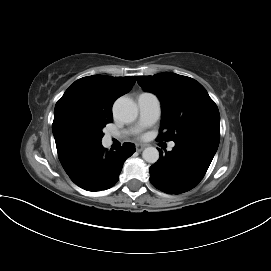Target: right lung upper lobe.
<instances>
[{
	"instance_id": "cb5924a9",
	"label": "right lung upper lobe",
	"mask_w": 271,
	"mask_h": 271,
	"mask_svg": "<svg viewBox=\"0 0 271 271\" xmlns=\"http://www.w3.org/2000/svg\"><path fill=\"white\" fill-rule=\"evenodd\" d=\"M135 81V76L93 75L78 79L66 90L56 103L52 125L58 157L63 168L100 146L70 135L67 130L68 121L79 114L112 117L113 102L128 93Z\"/></svg>"
}]
</instances>
